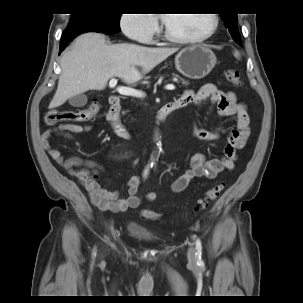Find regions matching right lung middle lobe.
Wrapping results in <instances>:
<instances>
[{"label": "right lung middle lobe", "instance_id": "1", "mask_svg": "<svg viewBox=\"0 0 303 303\" xmlns=\"http://www.w3.org/2000/svg\"><path fill=\"white\" fill-rule=\"evenodd\" d=\"M121 14L119 13H95L85 12L80 14H72V18L67 29L79 26L85 23L100 22L119 25Z\"/></svg>", "mask_w": 303, "mask_h": 303}]
</instances>
